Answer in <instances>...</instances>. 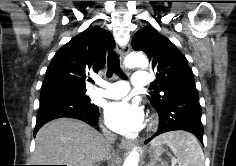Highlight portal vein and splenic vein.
Here are the masks:
<instances>
[{
    "mask_svg": "<svg viewBox=\"0 0 236 166\" xmlns=\"http://www.w3.org/2000/svg\"><path fill=\"white\" fill-rule=\"evenodd\" d=\"M177 162L175 159L172 160V164L175 165Z\"/></svg>",
    "mask_w": 236,
    "mask_h": 166,
    "instance_id": "portal-vein-and-splenic-vein-1",
    "label": "portal vein and splenic vein"
}]
</instances>
